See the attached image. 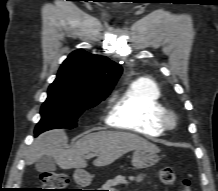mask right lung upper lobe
<instances>
[{"label": "right lung upper lobe", "instance_id": "cb5924a9", "mask_svg": "<svg viewBox=\"0 0 218 191\" xmlns=\"http://www.w3.org/2000/svg\"><path fill=\"white\" fill-rule=\"evenodd\" d=\"M121 73V66L107 57L79 49L62 63L55 81L77 93L105 95L111 92Z\"/></svg>", "mask_w": 218, "mask_h": 191}]
</instances>
